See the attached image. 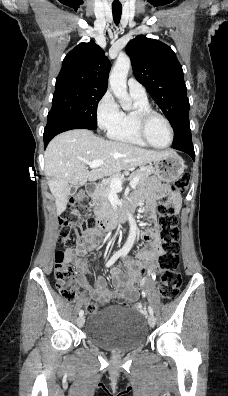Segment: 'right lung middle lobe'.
<instances>
[{
    "mask_svg": "<svg viewBox=\"0 0 228 396\" xmlns=\"http://www.w3.org/2000/svg\"><path fill=\"white\" fill-rule=\"evenodd\" d=\"M106 91L80 86H59L55 88L49 116L62 115L97 128V105Z\"/></svg>",
    "mask_w": 228,
    "mask_h": 396,
    "instance_id": "obj_1",
    "label": "right lung middle lobe"
}]
</instances>
